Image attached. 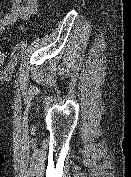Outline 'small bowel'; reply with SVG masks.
Masks as SVG:
<instances>
[{
	"mask_svg": "<svg viewBox=\"0 0 131 177\" xmlns=\"http://www.w3.org/2000/svg\"><path fill=\"white\" fill-rule=\"evenodd\" d=\"M8 10L0 17V36L19 20H27L38 10V0H8Z\"/></svg>",
	"mask_w": 131,
	"mask_h": 177,
	"instance_id": "small-bowel-1",
	"label": "small bowel"
}]
</instances>
